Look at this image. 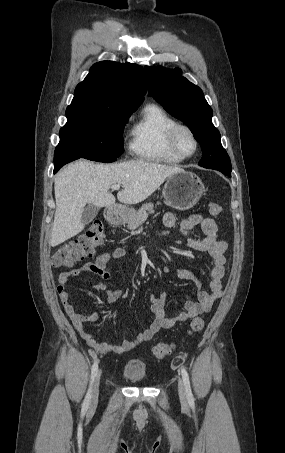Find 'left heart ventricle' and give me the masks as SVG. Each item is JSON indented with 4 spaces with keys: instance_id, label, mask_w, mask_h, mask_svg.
I'll list each match as a JSON object with an SVG mask.
<instances>
[{
    "instance_id": "b2bd125f",
    "label": "left heart ventricle",
    "mask_w": 285,
    "mask_h": 453,
    "mask_svg": "<svg viewBox=\"0 0 285 453\" xmlns=\"http://www.w3.org/2000/svg\"><path fill=\"white\" fill-rule=\"evenodd\" d=\"M178 146L185 154H190L194 149V142L189 134L181 132L178 137Z\"/></svg>"
}]
</instances>
